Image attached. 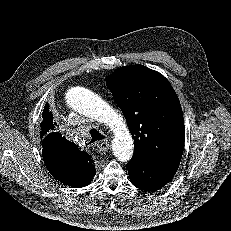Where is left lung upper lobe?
<instances>
[{"instance_id":"left-lung-upper-lobe-1","label":"left lung upper lobe","mask_w":231,"mask_h":231,"mask_svg":"<svg viewBox=\"0 0 231 231\" xmlns=\"http://www.w3.org/2000/svg\"><path fill=\"white\" fill-rule=\"evenodd\" d=\"M106 81L135 141L131 161L143 157L165 164L180 163L184 119L169 81L139 64L116 69Z\"/></svg>"}]
</instances>
